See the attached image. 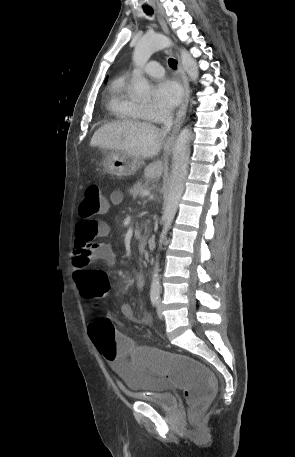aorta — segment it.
<instances>
[{
    "label": "aorta",
    "instance_id": "762f6f07",
    "mask_svg": "<svg viewBox=\"0 0 295 457\" xmlns=\"http://www.w3.org/2000/svg\"><path fill=\"white\" fill-rule=\"evenodd\" d=\"M170 45V40L163 34L154 33L142 37L136 44L133 52V62L136 66L142 67L150 59L151 55ZM181 63L190 80L196 81L199 76L197 62L189 52L180 49ZM150 85L146 78L140 76L134 83L133 94L135 97L144 99L150 95ZM192 137V128L190 125L181 130L173 148V164L169 179V191L166 199L163 213L164 225L159 239V248L166 238L167 232L171 228L172 222L176 215L179 202L184 192L185 181L188 173V163L190 156V141ZM158 258V256H157ZM160 277L158 259L154 265L151 282V293H160Z\"/></svg>",
    "mask_w": 295,
    "mask_h": 457
}]
</instances>
